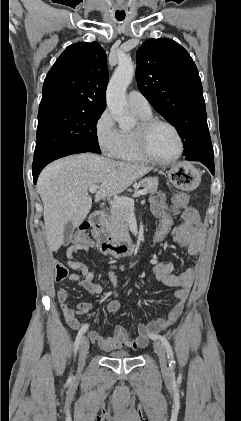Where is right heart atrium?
<instances>
[{
  "instance_id": "d8ad5b80",
  "label": "right heart atrium",
  "mask_w": 241,
  "mask_h": 421,
  "mask_svg": "<svg viewBox=\"0 0 241 421\" xmlns=\"http://www.w3.org/2000/svg\"><path fill=\"white\" fill-rule=\"evenodd\" d=\"M95 136L102 153L114 157L120 141V131L108 109H105L95 122Z\"/></svg>"
}]
</instances>
